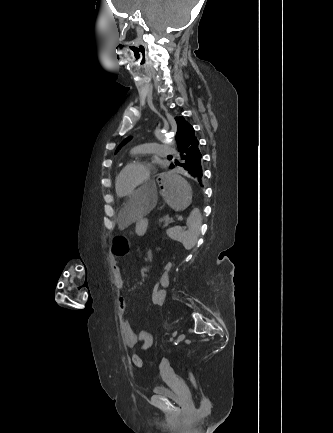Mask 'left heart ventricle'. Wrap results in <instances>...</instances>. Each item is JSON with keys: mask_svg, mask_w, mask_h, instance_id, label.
Listing matches in <instances>:
<instances>
[{"mask_svg": "<svg viewBox=\"0 0 333 433\" xmlns=\"http://www.w3.org/2000/svg\"><path fill=\"white\" fill-rule=\"evenodd\" d=\"M144 174L145 172L142 168H132L125 172L119 180L120 192L126 194L134 190L142 181Z\"/></svg>", "mask_w": 333, "mask_h": 433, "instance_id": "obj_1", "label": "left heart ventricle"}]
</instances>
